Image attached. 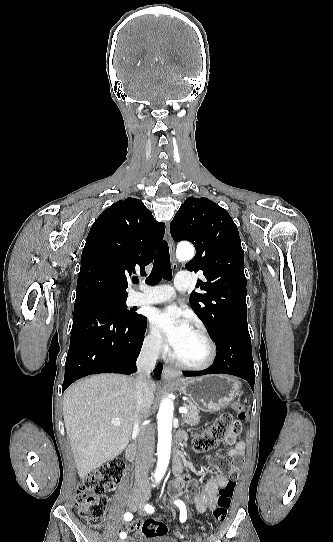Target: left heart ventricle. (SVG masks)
Masks as SVG:
<instances>
[{
	"label": "left heart ventricle",
	"instance_id": "obj_1",
	"mask_svg": "<svg viewBox=\"0 0 333 542\" xmlns=\"http://www.w3.org/2000/svg\"><path fill=\"white\" fill-rule=\"evenodd\" d=\"M171 352L176 358L187 363H202L209 353L206 342L194 329L187 333Z\"/></svg>",
	"mask_w": 333,
	"mask_h": 542
}]
</instances>
